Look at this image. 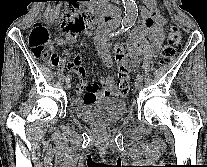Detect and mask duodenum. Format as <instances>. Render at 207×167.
Instances as JSON below:
<instances>
[{
	"label": "duodenum",
	"mask_w": 207,
	"mask_h": 167,
	"mask_svg": "<svg viewBox=\"0 0 207 167\" xmlns=\"http://www.w3.org/2000/svg\"><path fill=\"white\" fill-rule=\"evenodd\" d=\"M85 16L88 26L100 24L101 28H105L107 32L111 29L119 27L120 16L117 13L112 11H106L97 6H94L92 9L88 10Z\"/></svg>",
	"instance_id": "1"
}]
</instances>
